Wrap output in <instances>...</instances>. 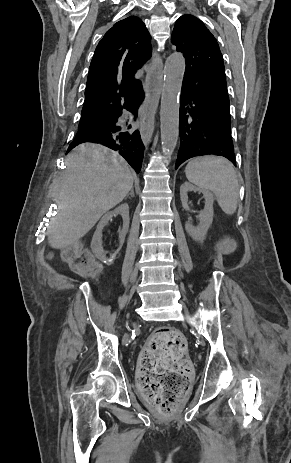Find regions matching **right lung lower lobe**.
Listing matches in <instances>:
<instances>
[{
  "label": "right lung lower lobe",
  "instance_id": "obj_1",
  "mask_svg": "<svg viewBox=\"0 0 291 463\" xmlns=\"http://www.w3.org/2000/svg\"><path fill=\"white\" fill-rule=\"evenodd\" d=\"M142 100L143 92H140L136 100L133 99L126 102L125 108L136 115L138 106L141 104ZM121 114L122 108L96 119L81 120L93 124L78 129L75 139L70 144L68 151L81 143H99L117 151L125 158L131 167L139 173L145 147L138 130L134 131L131 129V125H121L118 122V118Z\"/></svg>",
  "mask_w": 291,
  "mask_h": 463
}]
</instances>
